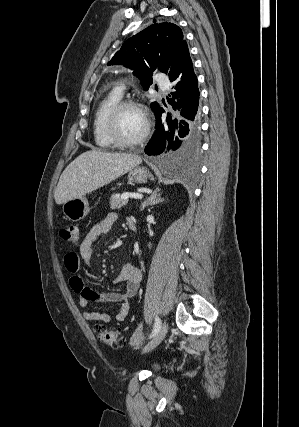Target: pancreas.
Listing matches in <instances>:
<instances>
[{"instance_id": "obj_1", "label": "pancreas", "mask_w": 299, "mask_h": 427, "mask_svg": "<svg viewBox=\"0 0 299 427\" xmlns=\"http://www.w3.org/2000/svg\"><path fill=\"white\" fill-rule=\"evenodd\" d=\"M128 200H124L121 198L119 194H114L110 198V208L112 210L119 209L127 204Z\"/></svg>"}]
</instances>
